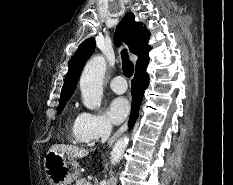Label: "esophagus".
I'll return each mask as SVG.
<instances>
[{"label": "esophagus", "mask_w": 233, "mask_h": 185, "mask_svg": "<svg viewBox=\"0 0 233 185\" xmlns=\"http://www.w3.org/2000/svg\"><path fill=\"white\" fill-rule=\"evenodd\" d=\"M127 126L128 123H125L113 134V136L108 141V146L113 144V142L127 129Z\"/></svg>", "instance_id": "obj_1"}]
</instances>
